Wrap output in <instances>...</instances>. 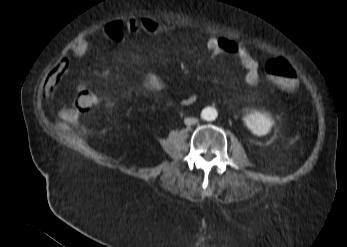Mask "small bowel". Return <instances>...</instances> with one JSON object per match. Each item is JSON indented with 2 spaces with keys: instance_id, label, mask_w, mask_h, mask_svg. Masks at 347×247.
Segmentation results:
<instances>
[{
  "instance_id": "obj_1",
  "label": "small bowel",
  "mask_w": 347,
  "mask_h": 247,
  "mask_svg": "<svg viewBox=\"0 0 347 247\" xmlns=\"http://www.w3.org/2000/svg\"><path fill=\"white\" fill-rule=\"evenodd\" d=\"M165 30L166 27L149 19H128L125 22L112 21L108 23L103 27L101 36L106 40L121 43L126 33L135 34L147 32L157 34ZM91 46V42L79 40L71 46L70 50L76 57H83L90 51ZM205 47L214 58L225 55L234 57L245 69L243 77L244 83L248 87H255L258 84L259 63L243 44L226 36L209 35L205 40ZM69 67L70 63L67 58L62 59L54 66L45 82V92L47 95H54L60 80L67 73ZM144 85L147 89L152 91H164L168 87V83L155 73H148L144 77ZM82 90H89L84 83L78 85V92ZM195 101L196 96L194 94H189L181 100V104L190 106L194 104Z\"/></svg>"
}]
</instances>
